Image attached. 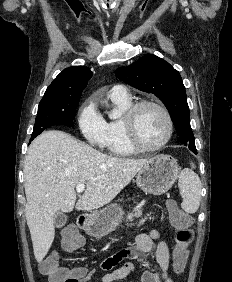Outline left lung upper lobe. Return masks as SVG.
<instances>
[{"label":"left lung upper lobe","mask_w":232,"mask_h":282,"mask_svg":"<svg viewBox=\"0 0 232 282\" xmlns=\"http://www.w3.org/2000/svg\"><path fill=\"white\" fill-rule=\"evenodd\" d=\"M115 74L134 88L158 97L168 109L181 143L195 146L186 90L177 70L165 60L149 54L127 67L118 68Z\"/></svg>","instance_id":"left-lung-upper-lobe-1"}]
</instances>
